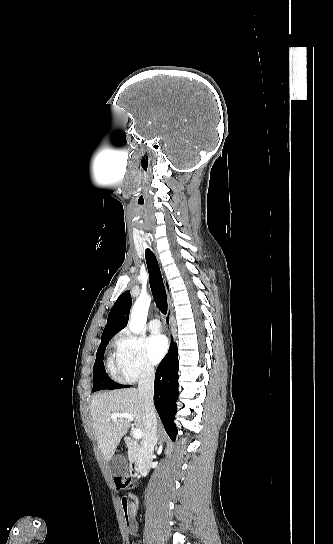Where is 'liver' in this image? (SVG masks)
Returning a JSON list of instances; mask_svg holds the SVG:
<instances>
[{"instance_id": "obj_1", "label": "liver", "mask_w": 333, "mask_h": 544, "mask_svg": "<svg viewBox=\"0 0 333 544\" xmlns=\"http://www.w3.org/2000/svg\"><path fill=\"white\" fill-rule=\"evenodd\" d=\"M92 426L104 460L114 455L121 438L128 432L131 421L125 418L112 420V413H129L134 416L137 429L145 431L144 399L135 388L107 391L94 396L90 402Z\"/></svg>"}]
</instances>
